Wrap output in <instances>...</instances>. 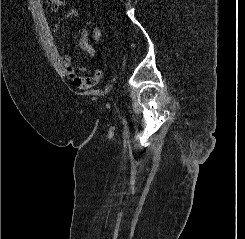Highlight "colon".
Returning a JSON list of instances; mask_svg holds the SVG:
<instances>
[{
  "mask_svg": "<svg viewBox=\"0 0 245 239\" xmlns=\"http://www.w3.org/2000/svg\"><path fill=\"white\" fill-rule=\"evenodd\" d=\"M48 2H49V3H53V2H54V0H48Z\"/></svg>",
  "mask_w": 245,
  "mask_h": 239,
  "instance_id": "obj_1",
  "label": "colon"
}]
</instances>
